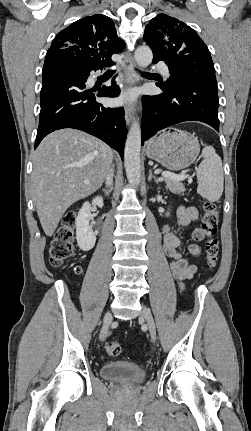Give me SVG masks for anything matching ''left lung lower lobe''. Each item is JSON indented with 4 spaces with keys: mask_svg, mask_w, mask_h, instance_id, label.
<instances>
[{
    "mask_svg": "<svg viewBox=\"0 0 251 431\" xmlns=\"http://www.w3.org/2000/svg\"><path fill=\"white\" fill-rule=\"evenodd\" d=\"M157 85L163 93L143 97L142 145L158 131L184 121H201L219 131L216 77L185 74L174 76L170 87Z\"/></svg>",
    "mask_w": 251,
    "mask_h": 431,
    "instance_id": "obj_1",
    "label": "left lung lower lobe"
}]
</instances>
